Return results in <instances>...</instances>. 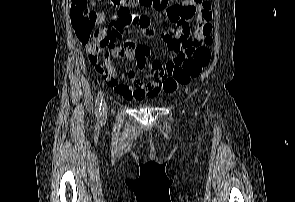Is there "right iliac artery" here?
<instances>
[{"label": "right iliac artery", "instance_id": "1", "mask_svg": "<svg viewBox=\"0 0 295 202\" xmlns=\"http://www.w3.org/2000/svg\"><path fill=\"white\" fill-rule=\"evenodd\" d=\"M102 102H103V92H99L96 99V116L97 118H101L102 116Z\"/></svg>", "mask_w": 295, "mask_h": 202}]
</instances>
